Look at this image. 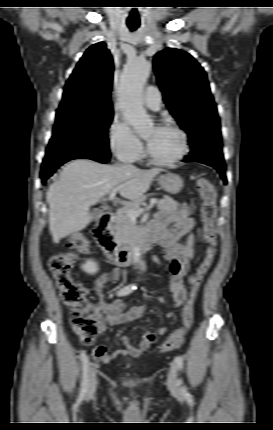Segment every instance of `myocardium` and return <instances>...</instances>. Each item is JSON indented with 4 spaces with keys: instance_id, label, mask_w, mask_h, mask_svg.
I'll return each mask as SVG.
<instances>
[{
    "instance_id": "1",
    "label": "myocardium",
    "mask_w": 273,
    "mask_h": 430,
    "mask_svg": "<svg viewBox=\"0 0 273 430\" xmlns=\"http://www.w3.org/2000/svg\"><path fill=\"white\" fill-rule=\"evenodd\" d=\"M159 128H165V129H169L172 130L174 132H176L180 139H181V148L179 153L171 158V159H167V160H162V159H158L156 158L150 151L149 145L146 148V156L149 160V162L158 165V166H171L174 164L179 163L180 161H182L186 155L189 152V139H188V135L186 134V132L177 124L171 123V122H164L160 125Z\"/></svg>"
}]
</instances>
